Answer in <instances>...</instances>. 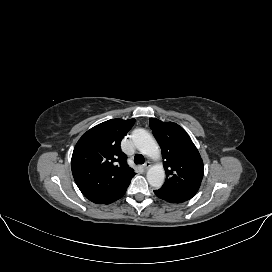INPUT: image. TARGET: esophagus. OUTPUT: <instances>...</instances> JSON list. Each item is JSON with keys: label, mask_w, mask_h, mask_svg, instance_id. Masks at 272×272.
Wrapping results in <instances>:
<instances>
[{"label": "esophagus", "mask_w": 272, "mask_h": 272, "mask_svg": "<svg viewBox=\"0 0 272 272\" xmlns=\"http://www.w3.org/2000/svg\"><path fill=\"white\" fill-rule=\"evenodd\" d=\"M150 167H151L150 162H146V163L143 165V168H144L145 171L148 170Z\"/></svg>", "instance_id": "1"}]
</instances>
